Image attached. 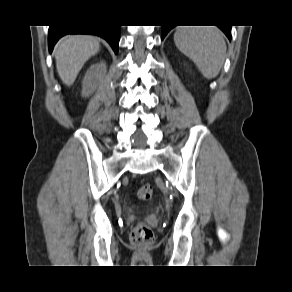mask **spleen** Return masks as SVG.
I'll return each mask as SVG.
<instances>
[{"label":"spleen","instance_id":"1","mask_svg":"<svg viewBox=\"0 0 292 292\" xmlns=\"http://www.w3.org/2000/svg\"><path fill=\"white\" fill-rule=\"evenodd\" d=\"M174 42L176 47L195 63L206 79L217 77L227 50L224 36L217 27H178Z\"/></svg>","mask_w":292,"mask_h":292}]
</instances>
